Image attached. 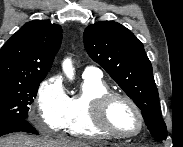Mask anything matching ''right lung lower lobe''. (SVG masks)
Here are the masks:
<instances>
[{"mask_svg": "<svg viewBox=\"0 0 183 147\" xmlns=\"http://www.w3.org/2000/svg\"><path fill=\"white\" fill-rule=\"evenodd\" d=\"M19 131L38 134L26 119L12 120L0 123V136Z\"/></svg>", "mask_w": 183, "mask_h": 147, "instance_id": "obj_1", "label": "right lung lower lobe"}]
</instances>
